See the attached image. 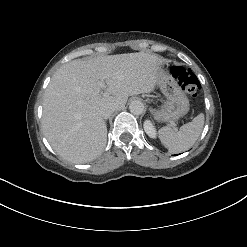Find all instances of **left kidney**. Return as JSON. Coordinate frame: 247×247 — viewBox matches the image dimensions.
<instances>
[{"instance_id": "1", "label": "left kidney", "mask_w": 247, "mask_h": 247, "mask_svg": "<svg viewBox=\"0 0 247 247\" xmlns=\"http://www.w3.org/2000/svg\"><path fill=\"white\" fill-rule=\"evenodd\" d=\"M144 130L150 138H156V129L150 120L144 122Z\"/></svg>"}]
</instances>
